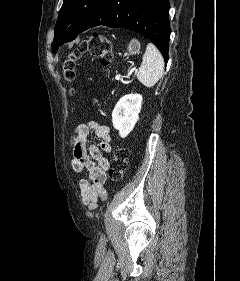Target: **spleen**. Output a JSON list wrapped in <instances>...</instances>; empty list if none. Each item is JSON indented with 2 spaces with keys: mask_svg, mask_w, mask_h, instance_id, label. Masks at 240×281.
<instances>
[{
  "mask_svg": "<svg viewBox=\"0 0 240 281\" xmlns=\"http://www.w3.org/2000/svg\"><path fill=\"white\" fill-rule=\"evenodd\" d=\"M164 71V59L158 49L148 43L142 58V63L137 72V79L147 88L153 87L162 77Z\"/></svg>",
  "mask_w": 240,
  "mask_h": 281,
  "instance_id": "1",
  "label": "spleen"
}]
</instances>
